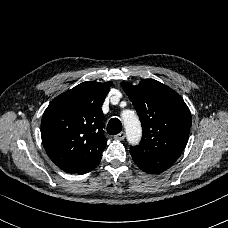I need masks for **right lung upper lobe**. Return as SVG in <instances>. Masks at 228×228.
I'll use <instances>...</instances> for the list:
<instances>
[{"instance_id": "obj_1", "label": "right lung upper lobe", "mask_w": 228, "mask_h": 228, "mask_svg": "<svg viewBox=\"0 0 228 228\" xmlns=\"http://www.w3.org/2000/svg\"><path fill=\"white\" fill-rule=\"evenodd\" d=\"M112 83L87 81L57 96L41 121L43 146L50 159L68 173H78L102 158L101 106Z\"/></svg>"}]
</instances>
